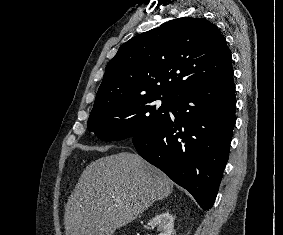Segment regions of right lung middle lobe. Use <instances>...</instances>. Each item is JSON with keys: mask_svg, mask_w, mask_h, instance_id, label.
I'll list each match as a JSON object with an SVG mask.
<instances>
[{"mask_svg": "<svg viewBox=\"0 0 283 235\" xmlns=\"http://www.w3.org/2000/svg\"><path fill=\"white\" fill-rule=\"evenodd\" d=\"M161 99V106L156 101ZM172 98L143 96L93 107L88 130L104 141L134 138L149 133L169 116Z\"/></svg>", "mask_w": 283, "mask_h": 235, "instance_id": "obj_1", "label": "right lung middle lobe"}]
</instances>
